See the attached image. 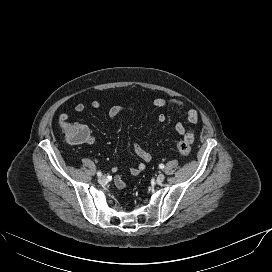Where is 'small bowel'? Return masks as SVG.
Wrapping results in <instances>:
<instances>
[{
  "mask_svg": "<svg viewBox=\"0 0 272 272\" xmlns=\"http://www.w3.org/2000/svg\"><path fill=\"white\" fill-rule=\"evenodd\" d=\"M91 105L93 108L99 109L102 107V102L99 100H94L91 103ZM153 105L156 108L173 107V108H177V109L186 110L187 121L189 124L196 125L199 122V114H198L197 110H195L193 108H189L184 102H182L179 99L174 98V99L166 100L163 98H156L153 101ZM85 108H86L85 104H83V103H77L74 106V110L77 113L83 112L85 110ZM135 111H136V107L133 105H114L109 108L108 117L110 119H113L121 113H124V112L132 113ZM68 118H69V115L67 113H62L59 117L60 121H66V120H68ZM165 119H166V117L164 114H160L158 116V120L160 122H164ZM175 129L179 135L183 136L184 138L187 136H190L191 143L194 142L195 136H194V132L191 129H186V127L182 123H177L175 126ZM93 141H94V138L91 136L88 143L91 144V143H93ZM133 151H134L135 155L141 159V162H139L134 167H130L128 169V172L132 176H137L145 169V163H147L151 160V154L148 151H146L137 142L133 143ZM111 170L113 173H117L119 170V167L117 165H114ZM115 185L119 189H124L126 187V182H125L124 178L122 177V175L115 176Z\"/></svg>",
  "mask_w": 272,
  "mask_h": 272,
  "instance_id": "1",
  "label": "small bowel"
}]
</instances>
